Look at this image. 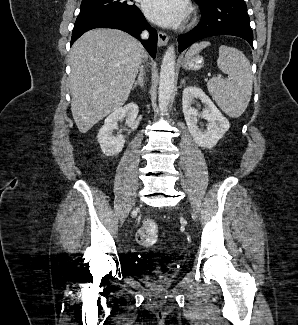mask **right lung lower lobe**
Listing matches in <instances>:
<instances>
[{
	"instance_id": "98d812e1",
	"label": "right lung lower lobe",
	"mask_w": 298,
	"mask_h": 325,
	"mask_svg": "<svg viewBox=\"0 0 298 325\" xmlns=\"http://www.w3.org/2000/svg\"><path fill=\"white\" fill-rule=\"evenodd\" d=\"M94 28H115L129 33L139 39L142 30L150 32L148 40H141L152 58L156 57L157 32L150 27L141 11L137 8L127 10H106L79 14L76 19L71 44L83 33Z\"/></svg>"
}]
</instances>
